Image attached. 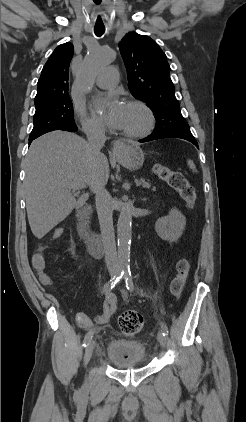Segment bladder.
<instances>
[{
    "mask_svg": "<svg viewBox=\"0 0 246 422\" xmlns=\"http://www.w3.org/2000/svg\"><path fill=\"white\" fill-rule=\"evenodd\" d=\"M106 356L119 368L139 367L146 362L147 349L137 340L113 338L106 345Z\"/></svg>",
    "mask_w": 246,
    "mask_h": 422,
    "instance_id": "obj_1",
    "label": "bladder"
}]
</instances>
